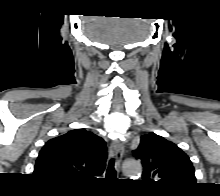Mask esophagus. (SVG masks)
<instances>
[{
	"mask_svg": "<svg viewBox=\"0 0 220 196\" xmlns=\"http://www.w3.org/2000/svg\"><path fill=\"white\" fill-rule=\"evenodd\" d=\"M123 153H124V147L122 143H120V141L118 140L114 141L110 147V154L115 159V167L117 171H120Z\"/></svg>",
	"mask_w": 220,
	"mask_h": 196,
	"instance_id": "34e87169",
	"label": "esophagus"
}]
</instances>
